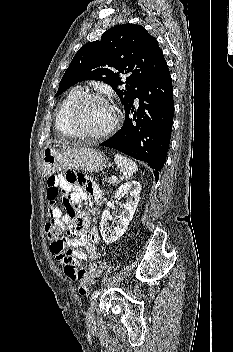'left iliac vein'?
<instances>
[{"mask_svg":"<svg viewBox=\"0 0 233 352\" xmlns=\"http://www.w3.org/2000/svg\"><path fill=\"white\" fill-rule=\"evenodd\" d=\"M96 305H97V299L91 300V303H90L88 311H87V322L88 323L93 322L94 312L96 310Z\"/></svg>","mask_w":233,"mask_h":352,"instance_id":"1","label":"left iliac vein"}]
</instances>
